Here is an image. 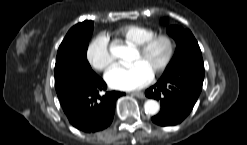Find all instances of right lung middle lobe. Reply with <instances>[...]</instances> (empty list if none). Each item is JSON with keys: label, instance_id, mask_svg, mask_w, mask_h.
<instances>
[{"label": "right lung middle lobe", "instance_id": "dd1d6c3e", "mask_svg": "<svg viewBox=\"0 0 247 145\" xmlns=\"http://www.w3.org/2000/svg\"><path fill=\"white\" fill-rule=\"evenodd\" d=\"M93 22L72 27L59 46L55 64V83L74 75H94L86 54Z\"/></svg>", "mask_w": 247, "mask_h": 145}]
</instances>
